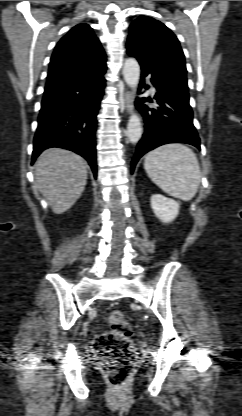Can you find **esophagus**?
I'll return each mask as SVG.
<instances>
[{"label": "esophagus", "instance_id": "34e87169", "mask_svg": "<svg viewBox=\"0 0 242 416\" xmlns=\"http://www.w3.org/2000/svg\"><path fill=\"white\" fill-rule=\"evenodd\" d=\"M124 104H125V109L127 110V112L131 113L132 110H133V99H132L131 92H126L125 93Z\"/></svg>", "mask_w": 242, "mask_h": 416}]
</instances>
